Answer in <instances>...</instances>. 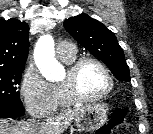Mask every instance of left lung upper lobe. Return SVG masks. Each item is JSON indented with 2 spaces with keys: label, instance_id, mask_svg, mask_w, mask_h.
Here are the masks:
<instances>
[{
  "label": "left lung upper lobe",
  "instance_id": "left-lung-upper-lobe-1",
  "mask_svg": "<svg viewBox=\"0 0 153 134\" xmlns=\"http://www.w3.org/2000/svg\"><path fill=\"white\" fill-rule=\"evenodd\" d=\"M64 27L78 43L102 60L118 80L130 81L124 52L112 31L87 14L66 19Z\"/></svg>",
  "mask_w": 153,
  "mask_h": 134
}]
</instances>
